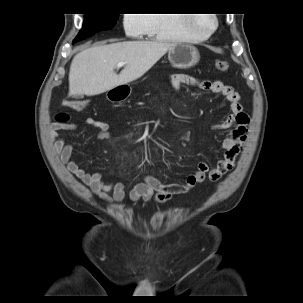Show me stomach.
<instances>
[{
    "label": "stomach",
    "instance_id": "1",
    "mask_svg": "<svg viewBox=\"0 0 303 303\" xmlns=\"http://www.w3.org/2000/svg\"><path fill=\"white\" fill-rule=\"evenodd\" d=\"M168 59L174 67L185 69L194 66L199 61L200 54L198 50L190 44L175 43L174 46L169 49Z\"/></svg>",
    "mask_w": 303,
    "mask_h": 303
}]
</instances>
